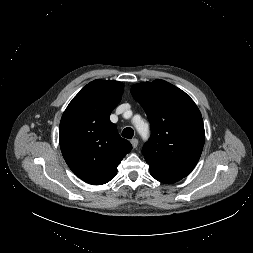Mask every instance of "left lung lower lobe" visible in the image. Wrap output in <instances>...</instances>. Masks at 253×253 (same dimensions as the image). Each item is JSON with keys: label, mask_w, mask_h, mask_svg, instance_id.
Here are the masks:
<instances>
[{"label": "left lung lower lobe", "mask_w": 253, "mask_h": 253, "mask_svg": "<svg viewBox=\"0 0 253 253\" xmlns=\"http://www.w3.org/2000/svg\"><path fill=\"white\" fill-rule=\"evenodd\" d=\"M150 174H151L152 177L155 178L156 180H158V181H160V182H163V183H166V184H172V183H175V182L181 180V179L178 178V177L166 175V174H163V173H161V172H158V171H156V170H151V169H150Z\"/></svg>", "instance_id": "1"}]
</instances>
